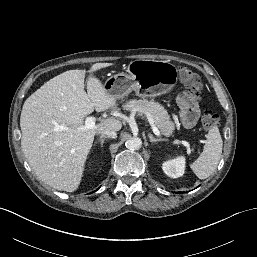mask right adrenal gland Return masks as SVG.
Masks as SVG:
<instances>
[{"label": "right adrenal gland", "instance_id": "right-adrenal-gland-1", "mask_svg": "<svg viewBox=\"0 0 257 257\" xmlns=\"http://www.w3.org/2000/svg\"><path fill=\"white\" fill-rule=\"evenodd\" d=\"M107 138H108V137L101 136V137L99 138V140L95 142L94 146H95L98 142H100V147H102L104 141H105Z\"/></svg>", "mask_w": 257, "mask_h": 257}]
</instances>
